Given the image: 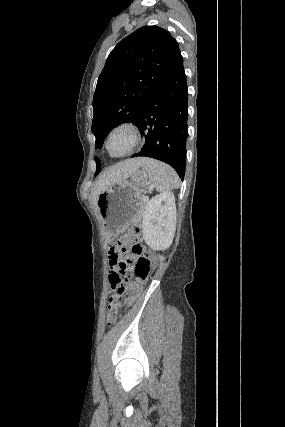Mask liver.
<instances>
[{
	"mask_svg": "<svg viewBox=\"0 0 285 427\" xmlns=\"http://www.w3.org/2000/svg\"><path fill=\"white\" fill-rule=\"evenodd\" d=\"M146 161V158H134L120 162L109 169H107L96 182L91 196L94 206L97 209V200L101 192H103L110 185L120 182L131 176L138 170Z\"/></svg>",
	"mask_w": 285,
	"mask_h": 427,
	"instance_id": "6515ba94",
	"label": "liver"
}]
</instances>
